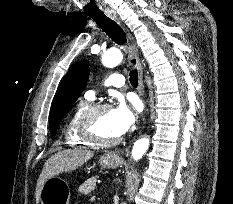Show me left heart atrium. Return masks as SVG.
<instances>
[{"label": "left heart atrium", "mask_w": 233, "mask_h": 204, "mask_svg": "<svg viewBox=\"0 0 233 204\" xmlns=\"http://www.w3.org/2000/svg\"><path fill=\"white\" fill-rule=\"evenodd\" d=\"M111 115L116 132L123 135L135 123L136 109L121 102L111 110Z\"/></svg>", "instance_id": "39dd6f15"}]
</instances>
